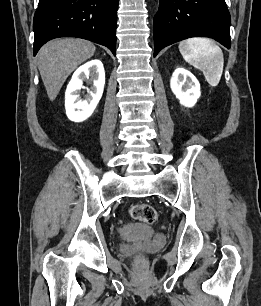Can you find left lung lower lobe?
I'll return each instance as SVG.
<instances>
[{"mask_svg": "<svg viewBox=\"0 0 261 306\" xmlns=\"http://www.w3.org/2000/svg\"><path fill=\"white\" fill-rule=\"evenodd\" d=\"M230 13L225 0H160L154 17V57L189 37H210L230 49Z\"/></svg>", "mask_w": 261, "mask_h": 306, "instance_id": "left-lung-lower-lobe-1", "label": "left lung lower lobe"}]
</instances>
